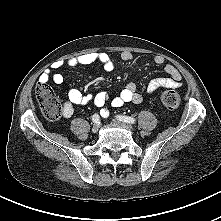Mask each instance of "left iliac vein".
Segmentation results:
<instances>
[{"mask_svg":"<svg viewBox=\"0 0 221 221\" xmlns=\"http://www.w3.org/2000/svg\"><path fill=\"white\" fill-rule=\"evenodd\" d=\"M114 123L117 124V125H120V126H122L124 128H127L128 130H133L132 126H130V125H128V124H126V123H124L122 121L114 120Z\"/></svg>","mask_w":221,"mask_h":221,"instance_id":"obj_1","label":"left iliac vein"}]
</instances>
